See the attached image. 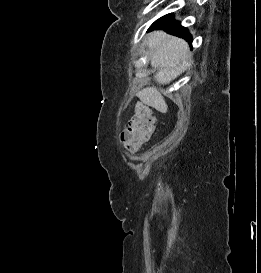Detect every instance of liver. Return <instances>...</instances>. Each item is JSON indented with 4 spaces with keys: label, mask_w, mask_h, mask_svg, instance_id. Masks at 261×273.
I'll list each match as a JSON object with an SVG mask.
<instances>
[{
    "label": "liver",
    "mask_w": 261,
    "mask_h": 273,
    "mask_svg": "<svg viewBox=\"0 0 261 273\" xmlns=\"http://www.w3.org/2000/svg\"><path fill=\"white\" fill-rule=\"evenodd\" d=\"M151 66L157 70L154 80L161 85L169 84L181 75L193 60L188 43L163 31H153L148 37ZM140 101L161 113L167 104L156 87H147L137 93Z\"/></svg>",
    "instance_id": "obj_1"
}]
</instances>
